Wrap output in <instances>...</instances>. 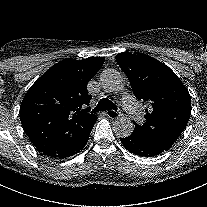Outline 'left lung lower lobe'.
I'll use <instances>...</instances> for the list:
<instances>
[{"mask_svg": "<svg viewBox=\"0 0 207 207\" xmlns=\"http://www.w3.org/2000/svg\"><path fill=\"white\" fill-rule=\"evenodd\" d=\"M123 146L131 153L142 157H153L166 151L145 135L135 132L126 138H120Z\"/></svg>", "mask_w": 207, "mask_h": 207, "instance_id": "left-lung-lower-lobe-1", "label": "left lung lower lobe"}]
</instances>
